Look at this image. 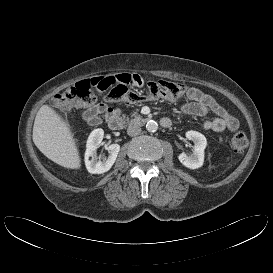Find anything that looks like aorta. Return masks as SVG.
<instances>
[{
    "label": "aorta",
    "instance_id": "762f6f07",
    "mask_svg": "<svg viewBox=\"0 0 273 273\" xmlns=\"http://www.w3.org/2000/svg\"><path fill=\"white\" fill-rule=\"evenodd\" d=\"M158 129V124L154 120H149L146 124V130L148 132H155Z\"/></svg>",
    "mask_w": 273,
    "mask_h": 273
}]
</instances>
